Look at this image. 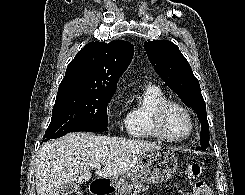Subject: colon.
<instances>
[{"label":"colon","mask_w":245,"mask_h":195,"mask_svg":"<svg viewBox=\"0 0 245 195\" xmlns=\"http://www.w3.org/2000/svg\"><path fill=\"white\" fill-rule=\"evenodd\" d=\"M202 173H203V166L200 164L191 165L187 169L188 178L193 180L192 195H214L210 187L204 181L199 180Z\"/></svg>","instance_id":"obj_1"}]
</instances>
